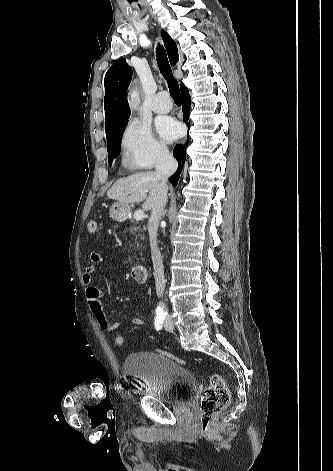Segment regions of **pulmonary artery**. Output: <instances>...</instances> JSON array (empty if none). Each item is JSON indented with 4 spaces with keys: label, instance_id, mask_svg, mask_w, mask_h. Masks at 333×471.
<instances>
[{
    "label": "pulmonary artery",
    "instance_id": "pulmonary-artery-1",
    "mask_svg": "<svg viewBox=\"0 0 333 471\" xmlns=\"http://www.w3.org/2000/svg\"><path fill=\"white\" fill-rule=\"evenodd\" d=\"M152 109L156 113H167L172 109V102L165 92L157 93L152 101Z\"/></svg>",
    "mask_w": 333,
    "mask_h": 471
}]
</instances>
